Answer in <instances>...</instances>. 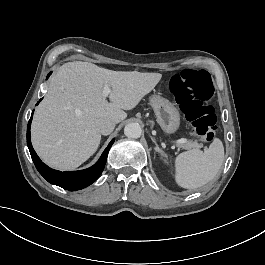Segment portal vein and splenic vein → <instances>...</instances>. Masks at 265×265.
Listing matches in <instances>:
<instances>
[{"label":"portal vein and splenic vein","instance_id":"1","mask_svg":"<svg viewBox=\"0 0 265 265\" xmlns=\"http://www.w3.org/2000/svg\"><path fill=\"white\" fill-rule=\"evenodd\" d=\"M110 92H111L110 87L108 85H104L103 91H102L103 97L106 98L110 94ZM186 142H187V139L185 138H181L176 141V143H186Z\"/></svg>","mask_w":265,"mask_h":265}]
</instances>
